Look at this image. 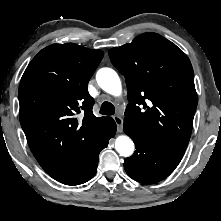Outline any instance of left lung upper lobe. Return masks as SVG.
<instances>
[{"mask_svg":"<svg viewBox=\"0 0 221 221\" xmlns=\"http://www.w3.org/2000/svg\"><path fill=\"white\" fill-rule=\"evenodd\" d=\"M108 54L126 79L129 104L124 122L158 142L186 149L197 107L187 55L156 33L139 35Z\"/></svg>","mask_w":221,"mask_h":221,"instance_id":"5c2ea615","label":"left lung upper lobe"}]
</instances>
